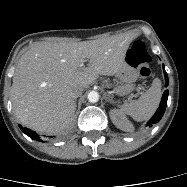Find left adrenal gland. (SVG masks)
<instances>
[{
	"instance_id": "obj_1",
	"label": "left adrenal gland",
	"mask_w": 187,
	"mask_h": 187,
	"mask_svg": "<svg viewBox=\"0 0 187 187\" xmlns=\"http://www.w3.org/2000/svg\"><path fill=\"white\" fill-rule=\"evenodd\" d=\"M107 100H108V102H110L111 104H114V100H113L112 98L107 97Z\"/></svg>"
}]
</instances>
